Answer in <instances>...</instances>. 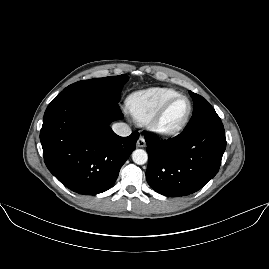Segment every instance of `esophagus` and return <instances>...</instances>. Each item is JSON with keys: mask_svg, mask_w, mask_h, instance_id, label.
I'll return each mask as SVG.
<instances>
[{"mask_svg": "<svg viewBox=\"0 0 269 269\" xmlns=\"http://www.w3.org/2000/svg\"><path fill=\"white\" fill-rule=\"evenodd\" d=\"M136 146L138 148H143L146 146V142H145V139L143 137H140L138 140H137V143H136Z\"/></svg>", "mask_w": 269, "mask_h": 269, "instance_id": "esophagus-1", "label": "esophagus"}]
</instances>
